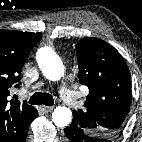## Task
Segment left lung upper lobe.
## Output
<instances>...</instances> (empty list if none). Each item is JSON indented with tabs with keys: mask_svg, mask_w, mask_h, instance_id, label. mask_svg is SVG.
Listing matches in <instances>:
<instances>
[{
	"mask_svg": "<svg viewBox=\"0 0 142 142\" xmlns=\"http://www.w3.org/2000/svg\"><path fill=\"white\" fill-rule=\"evenodd\" d=\"M79 80L89 88L85 108L73 121L98 137L112 138L122 128L131 102V78L123 57L107 42L84 37L77 44Z\"/></svg>",
	"mask_w": 142,
	"mask_h": 142,
	"instance_id": "5c2ea615",
	"label": "left lung upper lobe"
}]
</instances>
